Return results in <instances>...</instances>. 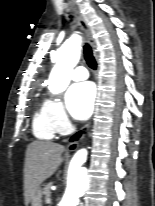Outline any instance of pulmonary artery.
Masks as SVG:
<instances>
[{"label":"pulmonary artery","instance_id":"1","mask_svg":"<svg viewBox=\"0 0 155 206\" xmlns=\"http://www.w3.org/2000/svg\"><path fill=\"white\" fill-rule=\"evenodd\" d=\"M71 78L75 81L85 80L88 78V72L85 67L79 66L73 71Z\"/></svg>","mask_w":155,"mask_h":206}]
</instances>
